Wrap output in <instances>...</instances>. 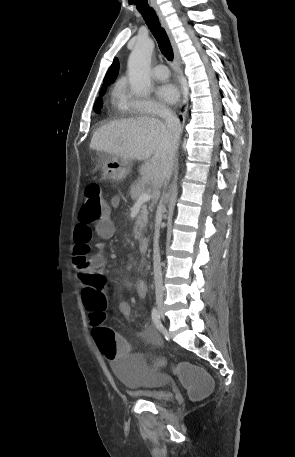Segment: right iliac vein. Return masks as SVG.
<instances>
[{
	"label": "right iliac vein",
	"instance_id": "obj_1",
	"mask_svg": "<svg viewBox=\"0 0 295 457\" xmlns=\"http://www.w3.org/2000/svg\"><path fill=\"white\" fill-rule=\"evenodd\" d=\"M157 308H158L160 315L162 317H164V304H163L162 300L157 301Z\"/></svg>",
	"mask_w": 295,
	"mask_h": 457
}]
</instances>
